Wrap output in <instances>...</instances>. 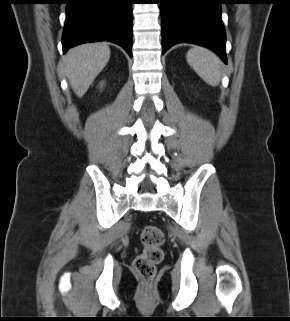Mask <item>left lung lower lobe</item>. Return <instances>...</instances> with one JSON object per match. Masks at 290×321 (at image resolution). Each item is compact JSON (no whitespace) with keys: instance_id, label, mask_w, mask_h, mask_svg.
Here are the masks:
<instances>
[{"instance_id":"1","label":"left lung lower lobe","mask_w":290,"mask_h":321,"mask_svg":"<svg viewBox=\"0 0 290 321\" xmlns=\"http://www.w3.org/2000/svg\"><path fill=\"white\" fill-rule=\"evenodd\" d=\"M162 53L178 43L209 48L227 64L225 29L221 19L224 0H161Z\"/></svg>"}]
</instances>
